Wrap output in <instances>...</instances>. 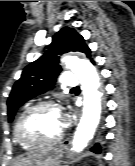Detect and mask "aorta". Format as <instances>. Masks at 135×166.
Returning <instances> with one entry per match:
<instances>
[{
    "instance_id": "1",
    "label": "aorta",
    "mask_w": 135,
    "mask_h": 166,
    "mask_svg": "<svg viewBox=\"0 0 135 166\" xmlns=\"http://www.w3.org/2000/svg\"><path fill=\"white\" fill-rule=\"evenodd\" d=\"M62 63L78 77L84 96L83 115L72 142V150L79 153L92 139L100 120L99 77L95 67L86 59L67 56L62 59Z\"/></svg>"
}]
</instances>
